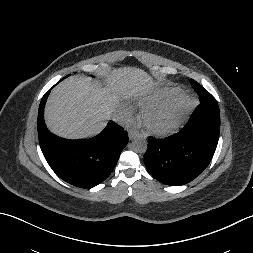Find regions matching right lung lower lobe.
I'll return each mask as SVG.
<instances>
[{
	"label": "right lung lower lobe",
	"mask_w": 253,
	"mask_h": 253,
	"mask_svg": "<svg viewBox=\"0 0 253 253\" xmlns=\"http://www.w3.org/2000/svg\"><path fill=\"white\" fill-rule=\"evenodd\" d=\"M48 90L38 110V137L43 155L64 181L81 188H92L104 181L114 169L128 143L123 128L111 121L97 136L86 140H66L51 134L44 123Z\"/></svg>",
	"instance_id": "1"
}]
</instances>
